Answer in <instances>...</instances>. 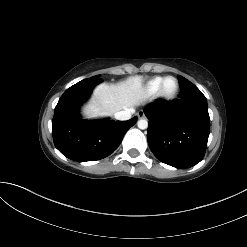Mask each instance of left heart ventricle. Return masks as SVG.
Returning <instances> with one entry per match:
<instances>
[{
	"mask_svg": "<svg viewBox=\"0 0 247 247\" xmlns=\"http://www.w3.org/2000/svg\"><path fill=\"white\" fill-rule=\"evenodd\" d=\"M174 88H175V81L172 80V79H169V80L166 82V84H165V91H166L167 93H170V92H172V91L174 90Z\"/></svg>",
	"mask_w": 247,
	"mask_h": 247,
	"instance_id": "1",
	"label": "left heart ventricle"
}]
</instances>
